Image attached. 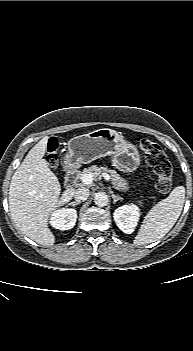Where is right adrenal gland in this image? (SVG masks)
<instances>
[{
	"label": "right adrenal gland",
	"instance_id": "2a0ac1e0",
	"mask_svg": "<svg viewBox=\"0 0 193 351\" xmlns=\"http://www.w3.org/2000/svg\"><path fill=\"white\" fill-rule=\"evenodd\" d=\"M81 202L80 201H73L71 203H69V205H72L73 207H75L76 205H79Z\"/></svg>",
	"mask_w": 193,
	"mask_h": 351
}]
</instances>
